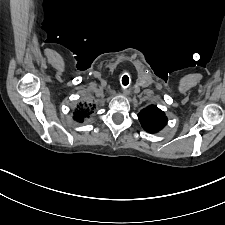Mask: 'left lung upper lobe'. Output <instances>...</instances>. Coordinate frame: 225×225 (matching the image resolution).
<instances>
[{
    "mask_svg": "<svg viewBox=\"0 0 225 225\" xmlns=\"http://www.w3.org/2000/svg\"><path fill=\"white\" fill-rule=\"evenodd\" d=\"M138 118L142 127L149 133H157L167 124L165 113L154 105L141 110Z\"/></svg>",
    "mask_w": 225,
    "mask_h": 225,
    "instance_id": "1",
    "label": "left lung upper lobe"
}]
</instances>
